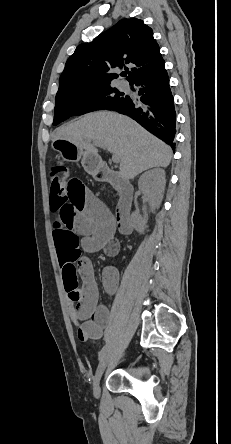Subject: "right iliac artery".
Masks as SVG:
<instances>
[{
	"instance_id": "right-iliac-artery-1",
	"label": "right iliac artery",
	"mask_w": 231,
	"mask_h": 444,
	"mask_svg": "<svg viewBox=\"0 0 231 444\" xmlns=\"http://www.w3.org/2000/svg\"><path fill=\"white\" fill-rule=\"evenodd\" d=\"M107 351V345H105L101 351L99 352V359H101L103 357V355L105 354V352Z\"/></svg>"
}]
</instances>
